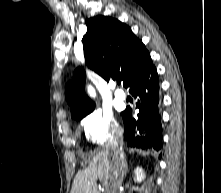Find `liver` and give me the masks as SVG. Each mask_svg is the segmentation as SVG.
Listing matches in <instances>:
<instances>
[{
  "label": "liver",
  "mask_w": 221,
  "mask_h": 193,
  "mask_svg": "<svg viewBox=\"0 0 221 193\" xmlns=\"http://www.w3.org/2000/svg\"><path fill=\"white\" fill-rule=\"evenodd\" d=\"M113 170V152L110 149L96 151L92 155L88 167L77 172L72 184L71 193H98L97 178L103 179L105 184H107L109 180L111 181Z\"/></svg>",
  "instance_id": "6515ba94"
}]
</instances>
